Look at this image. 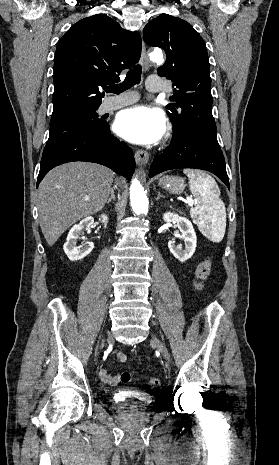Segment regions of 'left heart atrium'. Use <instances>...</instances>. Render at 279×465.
<instances>
[{"instance_id": "1", "label": "left heart atrium", "mask_w": 279, "mask_h": 465, "mask_svg": "<svg viewBox=\"0 0 279 465\" xmlns=\"http://www.w3.org/2000/svg\"><path fill=\"white\" fill-rule=\"evenodd\" d=\"M114 128L119 136L129 142L154 144L165 134L166 119L160 110L140 105L120 112Z\"/></svg>"}]
</instances>
